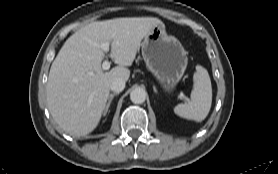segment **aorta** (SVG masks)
Masks as SVG:
<instances>
[{"label":"aorta","mask_w":278,"mask_h":174,"mask_svg":"<svg viewBox=\"0 0 278 174\" xmlns=\"http://www.w3.org/2000/svg\"><path fill=\"white\" fill-rule=\"evenodd\" d=\"M147 93L142 88H135L130 93V99L134 104H142L146 100Z\"/></svg>","instance_id":"aorta-1"}]
</instances>
